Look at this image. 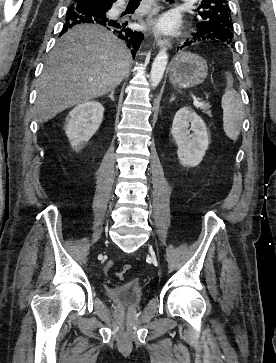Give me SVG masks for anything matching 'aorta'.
<instances>
[{
	"label": "aorta",
	"instance_id": "1",
	"mask_svg": "<svg viewBox=\"0 0 276 363\" xmlns=\"http://www.w3.org/2000/svg\"><path fill=\"white\" fill-rule=\"evenodd\" d=\"M168 63V54L166 48H162L157 54L152 64L150 72V83L152 87H157L162 80Z\"/></svg>",
	"mask_w": 276,
	"mask_h": 363
}]
</instances>
